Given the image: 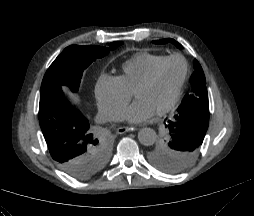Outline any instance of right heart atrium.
Segmentation results:
<instances>
[{
	"label": "right heart atrium",
	"mask_w": 254,
	"mask_h": 216,
	"mask_svg": "<svg viewBox=\"0 0 254 216\" xmlns=\"http://www.w3.org/2000/svg\"><path fill=\"white\" fill-rule=\"evenodd\" d=\"M95 98L101 115L108 120H117L131 99V92L117 76L103 74L96 83Z\"/></svg>",
	"instance_id": "obj_1"
}]
</instances>
